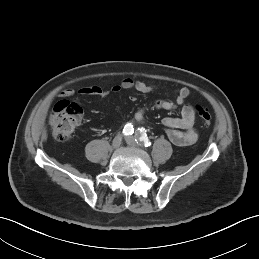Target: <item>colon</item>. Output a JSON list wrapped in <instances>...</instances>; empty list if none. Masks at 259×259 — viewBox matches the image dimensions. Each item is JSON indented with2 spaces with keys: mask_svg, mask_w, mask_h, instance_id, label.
Returning a JSON list of instances; mask_svg holds the SVG:
<instances>
[{
  "mask_svg": "<svg viewBox=\"0 0 259 259\" xmlns=\"http://www.w3.org/2000/svg\"><path fill=\"white\" fill-rule=\"evenodd\" d=\"M195 109L203 125L207 128L211 127L213 120L210 113L200 106H196ZM82 113V108L76 103L70 101L58 103L50 115V126L55 139L58 141L68 140L78 125Z\"/></svg>",
  "mask_w": 259,
  "mask_h": 259,
  "instance_id": "colon-1",
  "label": "colon"
}]
</instances>
